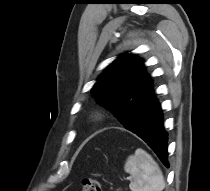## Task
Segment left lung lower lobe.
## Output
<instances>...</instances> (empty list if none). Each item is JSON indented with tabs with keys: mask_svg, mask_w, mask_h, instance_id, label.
Masks as SVG:
<instances>
[{
	"mask_svg": "<svg viewBox=\"0 0 210 191\" xmlns=\"http://www.w3.org/2000/svg\"><path fill=\"white\" fill-rule=\"evenodd\" d=\"M129 111L127 118L135 126L130 131L143 139L156 153L163 164L168 168L167 133L164 129V120L161 105L156 98L154 89L141 103Z\"/></svg>",
	"mask_w": 210,
	"mask_h": 191,
	"instance_id": "1",
	"label": "left lung lower lobe"
}]
</instances>
